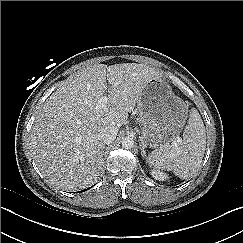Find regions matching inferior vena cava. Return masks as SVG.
I'll list each match as a JSON object with an SVG mask.
<instances>
[{
    "mask_svg": "<svg viewBox=\"0 0 243 243\" xmlns=\"http://www.w3.org/2000/svg\"><path fill=\"white\" fill-rule=\"evenodd\" d=\"M117 133H118L117 127L108 126L103 130L101 134V139L104 142V144H110L115 140Z\"/></svg>",
    "mask_w": 243,
    "mask_h": 243,
    "instance_id": "obj_1",
    "label": "inferior vena cava"
}]
</instances>
